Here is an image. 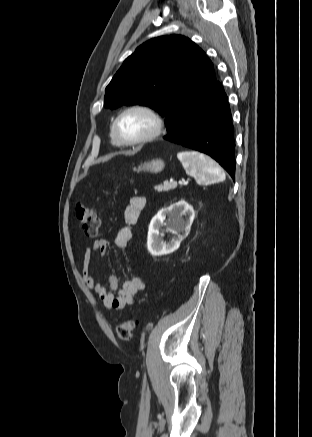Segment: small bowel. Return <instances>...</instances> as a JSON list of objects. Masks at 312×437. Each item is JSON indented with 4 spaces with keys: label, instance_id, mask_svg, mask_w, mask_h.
I'll return each mask as SVG.
<instances>
[{
    "label": "small bowel",
    "instance_id": "1",
    "mask_svg": "<svg viewBox=\"0 0 312 437\" xmlns=\"http://www.w3.org/2000/svg\"><path fill=\"white\" fill-rule=\"evenodd\" d=\"M145 204L146 200L143 196H134L129 200L124 210L125 226L120 229L115 239L118 248L124 249L127 246L132 235V227L136 224ZM109 245L108 240L98 239L85 250L82 277L86 286L100 297L106 309L122 310L134 302L145 284L137 275L124 278L120 288H118L119 279L115 275H109L105 281L95 278L92 271L93 258L96 255L104 256Z\"/></svg>",
    "mask_w": 312,
    "mask_h": 437
}]
</instances>
